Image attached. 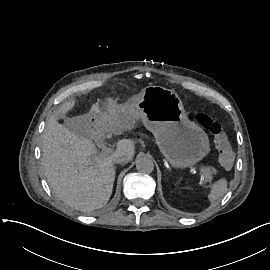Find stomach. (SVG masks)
<instances>
[{"label":"stomach","instance_id":"0dacf381","mask_svg":"<svg viewBox=\"0 0 270 270\" xmlns=\"http://www.w3.org/2000/svg\"><path fill=\"white\" fill-rule=\"evenodd\" d=\"M117 109V115H140L161 154L174 169L185 170L210 153L207 133L188 118L180 98L171 90L149 85L136 95L135 101Z\"/></svg>","mask_w":270,"mask_h":270}]
</instances>
